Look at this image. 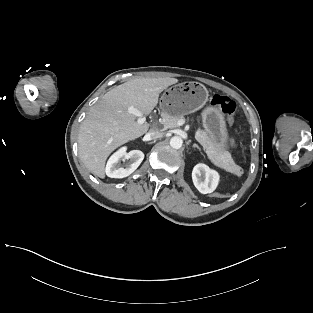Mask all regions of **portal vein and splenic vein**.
I'll return each instance as SVG.
<instances>
[{
  "label": "portal vein and splenic vein",
  "mask_w": 313,
  "mask_h": 313,
  "mask_svg": "<svg viewBox=\"0 0 313 313\" xmlns=\"http://www.w3.org/2000/svg\"><path fill=\"white\" fill-rule=\"evenodd\" d=\"M128 112H129L130 114H134L135 116L138 117L137 122H138L139 124H143V123L146 122V116H145L140 110H138L137 108H135V107H133V106H129V107H128ZM184 123H185V121H184L183 119H181V120L178 121L177 125H178V126H181V125H183Z\"/></svg>",
  "instance_id": "1"
}]
</instances>
